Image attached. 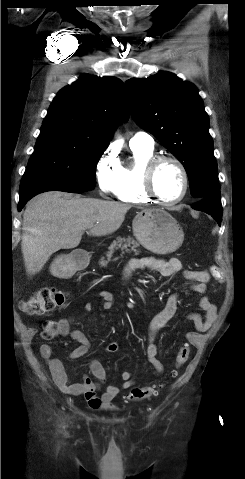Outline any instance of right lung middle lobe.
Masks as SVG:
<instances>
[{
  "mask_svg": "<svg viewBox=\"0 0 245 479\" xmlns=\"http://www.w3.org/2000/svg\"><path fill=\"white\" fill-rule=\"evenodd\" d=\"M106 148L69 133L41 131L20 190L36 185L93 190L96 165Z\"/></svg>",
  "mask_w": 245,
  "mask_h": 479,
  "instance_id": "dd1d6c3e",
  "label": "right lung middle lobe"
}]
</instances>
